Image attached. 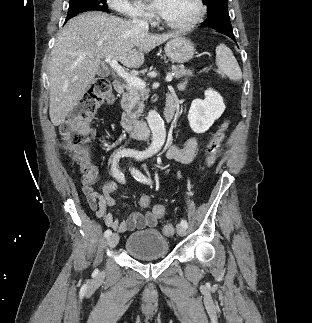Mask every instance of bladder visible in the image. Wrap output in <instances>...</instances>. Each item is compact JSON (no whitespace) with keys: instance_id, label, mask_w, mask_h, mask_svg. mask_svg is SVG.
Segmentation results:
<instances>
[{"instance_id":"bladder-1","label":"bladder","mask_w":312,"mask_h":323,"mask_svg":"<svg viewBox=\"0 0 312 323\" xmlns=\"http://www.w3.org/2000/svg\"><path fill=\"white\" fill-rule=\"evenodd\" d=\"M169 244V241L158 230H142L131 233L125 241L127 254L141 260L167 256Z\"/></svg>"}]
</instances>
